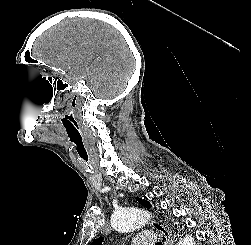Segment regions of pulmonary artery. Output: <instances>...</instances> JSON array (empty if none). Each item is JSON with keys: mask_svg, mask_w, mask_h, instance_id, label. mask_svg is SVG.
<instances>
[{"mask_svg": "<svg viewBox=\"0 0 251 245\" xmlns=\"http://www.w3.org/2000/svg\"><path fill=\"white\" fill-rule=\"evenodd\" d=\"M154 239V232H142L133 239V245H154Z\"/></svg>", "mask_w": 251, "mask_h": 245, "instance_id": "e3ab8cb5", "label": "pulmonary artery"}]
</instances>
